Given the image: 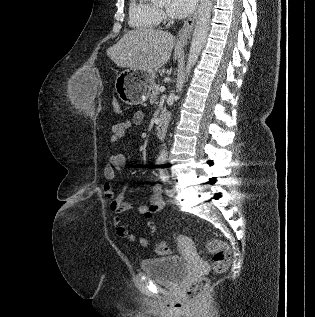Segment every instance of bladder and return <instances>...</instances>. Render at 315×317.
<instances>
[{"mask_svg": "<svg viewBox=\"0 0 315 317\" xmlns=\"http://www.w3.org/2000/svg\"><path fill=\"white\" fill-rule=\"evenodd\" d=\"M141 268L153 280L170 287L180 284L189 270L187 261L176 255L145 259Z\"/></svg>", "mask_w": 315, "mask_h": 317, "instance_id": "obj_1", "label": "bladder"}]
</instances>
